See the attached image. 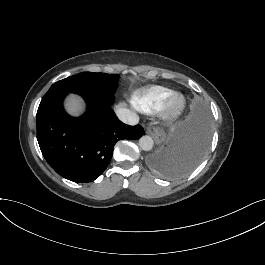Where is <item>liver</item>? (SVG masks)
<instances>
[{
    "label": "liver",
    "mask_w": 265,
    "mask_h": 265,
    "mask_svg": "<svg viewBox=\"0 0 265 265\" xmlns=\"http://www.w3.org/2000/svg\"><path fill=\"white\" fill-rule=\"evenodd\" d=\"M81 109V103L78 99L76 98H71L68 101V110L71 113H77Z\"/></svg>",
    "instance_id": "liver-1"
}]
</instances>
